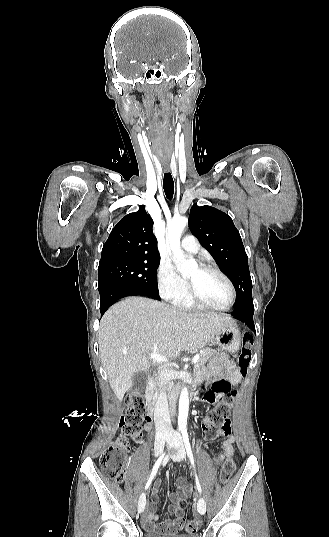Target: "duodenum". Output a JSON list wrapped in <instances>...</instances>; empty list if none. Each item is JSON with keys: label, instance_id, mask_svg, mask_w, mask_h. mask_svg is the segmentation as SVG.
Here are the masks:
<instances>
[{"label": "duodenum", "instance_id": "duodenum-1", "mask_svg": "<svg viewBox=\"0 0 329 537\" xmlns=\"http://www.w3.org/2000/svg\"><path fill=\"white\" fill-rule=\"evenodd\" d=\"M147 412H148L149 418H152L155 412V402L152 399L150 393H148V397H147Z\"/></svg>", "mask_w": 329, "mask_h": 537}]
</instances>
